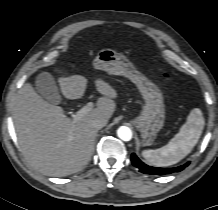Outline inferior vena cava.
<instances>
[{
    "mask_svg": "<svg viewBox=\"0 0 218 210\" xmlns=\"http://www.w3.org/2000/svg\"><path fill=\"white\" fill-rule=\"evenodd\" d=\"M107 124V120L104 119H94L91 121V126L95 129H101Z\"/></svg>",
    "mask_w": 218,
    "mask_h": 210,
    "instance_id": "1",
    "label": "inferior vena cava"
}]
</instances>
